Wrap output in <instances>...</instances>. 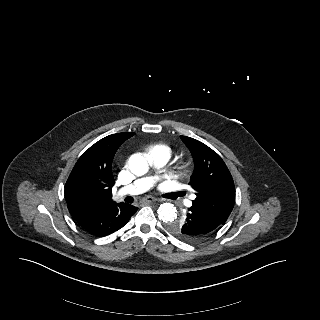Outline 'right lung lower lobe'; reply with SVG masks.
Wrapping results in <instances>:
<instances>
[{
  "mask_svg": "<svg viewBox=\"0 0 320 320\" xmlns=\"http://www.w3.org/2000/svg\"><path fill=\"white\" fill-rule=\"evenodd\" d=\"M136 211L137 208L135 206L123 202L119 204L113 202L74 219L87 233L103 237L125 226Z\"/></svg>",
  "mask_w": 320,
  "mask_h": 320,
  "instance_id": "obj_1",
  "label": "right lung lower lobe"
}]
</instances>
